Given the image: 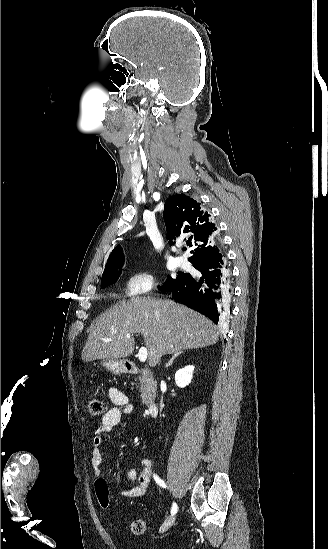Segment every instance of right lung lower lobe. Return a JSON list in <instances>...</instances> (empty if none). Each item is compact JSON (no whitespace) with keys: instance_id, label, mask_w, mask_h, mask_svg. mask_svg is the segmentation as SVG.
<instances>
[{"instance_id":"98d812e1","label":"right lung lower lobe","mask_w":328,"mask_h":549,"mask_svg":"<svg viewBox=\"0 0 328 549\" xmlns=\"http://www.w3.org/2000/svg\"><path fill=\"white\" fill-rule=\"evenodd\" d=\"M197 275H189L161 291H170L174 299L223 324L222 295L227 288L228 267L224 256L194 265Z\"/></svg>"}]
</instances>
